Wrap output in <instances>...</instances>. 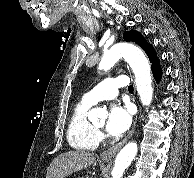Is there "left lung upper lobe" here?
<instances>
[{
  "label": "left lung upper lobe",
  "instance_id": "obj_1",
  "mask_svg": "<svg viewBox=\"0 0 194 178\" xmlns=\"http://www.w3.org/2000/svg\"><path fill=\"white\" fill-rule=\"evenodd\" d=\"M123 39L125 41H131L138 44L147 54L150 62L153 64L158 59L156 58V53L154 48L145 40L141 33L135 30L126 31L123 34Z\"/></svg>",
  "mask_w": 194,
  "mask_h": 178
}]
</instances>
